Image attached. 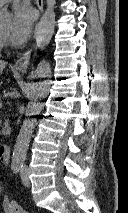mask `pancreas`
I'll return each instance as SVG.
<instances>
[{
  "label": "pancreas",
  "mask_w": 128,
  "mask_h": 213,
  "mask_svg": "<svg viewBox=\"0 0 128 213\" xmlns=\"http://www.w3.org/2000/svg\"><path fill=\"white\" fill-rule=\"evenodd\" d=\"M0 103H1V97H0ZM10 131H11V129L9 127V123H8V121H6L4 123V127L2 128V135L3 136L9 135Z\"/></svg>",
  "instance_id": "1"
}]
</instances>
